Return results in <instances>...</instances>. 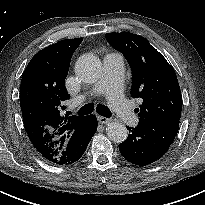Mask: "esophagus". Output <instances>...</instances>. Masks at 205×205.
I'll use <instances>...</instances> for the list:
<instances>
[{"label":"esophagus","instance_id":"1","mask_svg":"<svg viewBox=\"0 0 205 205\" xmlns=\"http://www.w3.org/2000/svg\"><path fill=\"white\" fill-rule=\"evenodd\" d=\"M98 121L101 124H107L111 121V119L107 118V117H104V116H101V115H98Z\"/></svg>","mask_w":205,"mask_h":205}]
</instances>
